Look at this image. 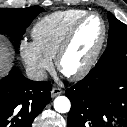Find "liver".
Segmentation results:
<instances>
[{
	"label": "liver",
	"mask_w": 127,
	"mask_h": 127,
	"mask_svg": "<svg viewBox=\"0 0 127 127\" xmlns=\"http://www.w3.org/2000/svg\"><path fill=\"white\" fill-rule=\"evenodd\" d=\"M13 53L8 44L0 38V78L10 69Z\"/></svg>",
	"instance_id": "6515ba94"
}]
</instances>
